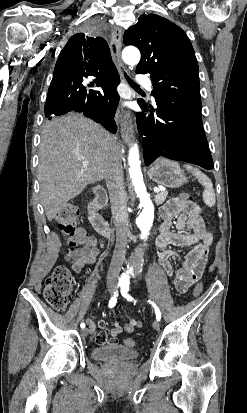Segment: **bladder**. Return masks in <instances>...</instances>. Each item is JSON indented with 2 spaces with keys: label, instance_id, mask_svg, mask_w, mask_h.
<instances>
[{
  "label": "bladder",
  "instance_id": "obj_1",
  "mask_svg": "<svg viewBox=\"0 0 247 413\" xmlns=\"http://www.w3.org/2000/svg\"><path fill=\"white\" fill-rule=\"evenodd\" d=\"M92 355L94 360L116 362L135 359L138 356V352H134L122 345H108L93 348Z\"/></svg>",
  "mask_w": 247,
  "mask_h": 413
}]
</instances>
